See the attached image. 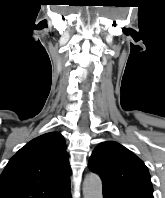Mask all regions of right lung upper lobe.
I'll return each mask as SVG.
<instances>
[{"label":"right lung upper lobe","mask_w":165,"mask_h":198,"mask_svg":"<svg viewBox=\"0 0 165 198\" xmlns=\"http://www.w3.org/2000/svg\"><path fill=\"white\" fill-rule=\"evenodd\" d=\"M65 141L43 134L22 147L0 176V198H63L70 191Z\"/></svg>","instance_id":"obj_1"}]
</instances>
